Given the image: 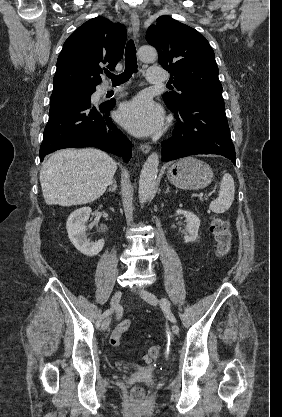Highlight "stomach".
I'll return each mask as SVG.
<instances>
[{"label": "stomach", "instance_id": "1", "mask_svg": "<svg viewBox=\"0 0 282 417\" xmlns=\"http://www.w3.org/2000/svg\"><path fill=\"white\" fill-rule=\"evenodd\" d=\"M167 176L168 180L178 188L197 190V188H203L212 182L214 172L204 160L185 156L169 166Z\"/></svg>", "mask_w": 282, "mask_h": 417}]
</instances>
